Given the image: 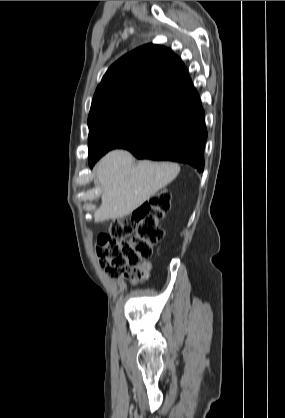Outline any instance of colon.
<instances>
[{"mask_svg": "<svg viewBox=\"0 0 285 418\" xmlns=\"http://www.w3.org/2000/svg\"><path fill=\"white\" fill-rule=\"evenodd\" d=\"M171 194L167 189L156 192L130 217L114 220L108 230L96 237L101 267L111 276H135L144 267L153 246L164 236L160 220L170 209Z\"/></svg>", "mask_w": 285, "mask_h": 418, "instance_id": "5ec220e1", "label": "colon"}]
</instances>
